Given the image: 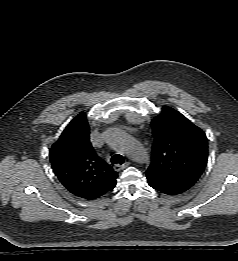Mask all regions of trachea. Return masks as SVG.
<instances>
[{
	"instance_id": "3493384b",
	"label": "trachea",
	"mask_w": 238,
	"mask_h": 261,
	"mask_svg": "<svg viewBox=\"0 0 238 261\" xmlns=\"http://www.w3.org/2000/svg\"><path fill=\"white\" fill-rule=\"evenodd\" d=\"M123 162H124V157L120 154H115L111 158L112 164H123Z\"/></svg>"
}]
</instances>
